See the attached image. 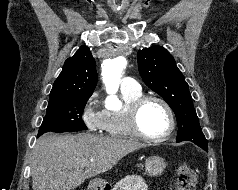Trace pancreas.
<instances>
[{
  "mask_svg": "<svg viewBox=\"0 0 238 190\" xmlns=\"http://www.w3.org/2000/svg\"><path fill=\"white\" fill-rule=\"evenodd\" d=\"M111 190H148V186L142 178L131 176L121 179Z\"/></svg>",
  "mask_w": 238,
  "mask_h": 190,
  "instance_id": "pancreas-1",
  "label": "pancreas"
}]
</instances>
